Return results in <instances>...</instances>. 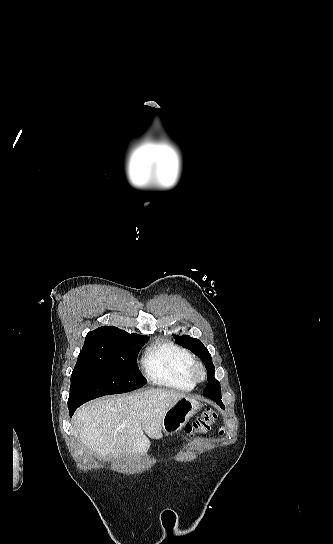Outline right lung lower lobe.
<instances>
[{
	"mask_svg": "<svg viewBox=\"0 0 333 544\" xmlns=\"http://www.w3.org/2000/svg\"><path fill=\"white\" fill-rule=\"evenodd\" d=\"M79 406H80V405L68 406L70 417L74 414L75 410H76Z\"/></svg>",
	"mask_w": 333,
	"mask_h": 544,
	"instance_id": "98d812e1",
	"label": "right lung lower lobe"
}]
</instances>
